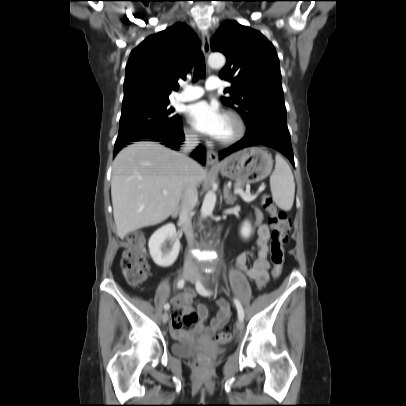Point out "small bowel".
Wrapping results in <instances>:
<instances>
[{
    "label": "small bowel",
    "mask_w": 406,
    "mask_h": 406,
    "mask_svg": "<svg viewBox=\"0 0 406 406\" xmlns=\"http://www.w3.org/2000/svg\"><path fill=\"white\" fill-rule=\"evenodd\" d=\"M256 226H257V246L256 259L252 266H248L247 262L252 257L251 252H243L236 258L237 267L245 273V275L254 280L258 289L263 288L268 281V268L269 262L268 255V242L270 239V229L263 223V214L259 209L255 210ZM172 303L178 308L182 309L185 313H196L200 322L191 329L188 333L184 332L181 328H176L171 323L172 334L180 339H185L188 336H202L209 339L214 336L217 331L222 328L230 319L231 310L228 302L220 298L216 304L218 307L217 314L210 320L207 328L204 322L207 319L208 311L205 305L195 301V292L192 289L186 290L184 293L178 294L172 298ZM192 305L194 309H192Z\"/></svg>",
    "instance_id": "obj_1"
}]
</instances>
